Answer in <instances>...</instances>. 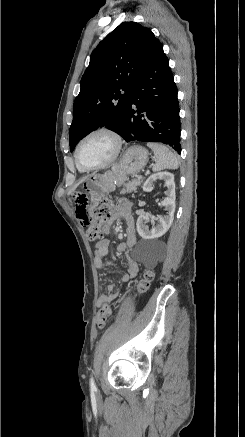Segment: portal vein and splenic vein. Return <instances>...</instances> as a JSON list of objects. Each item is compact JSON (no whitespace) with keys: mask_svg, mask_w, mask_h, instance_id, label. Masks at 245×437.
Returning <instances> with one entry per match:
<instances>
[{"mask_svg":"<svg viewBox=\"0 0 245 437\" xmlns=\"http://www.w3.org/2000/svg\"><path fill=\"white\" fill-rule=\"evenodd\" d=\"M137 177L140 179L142 176H141V175H138Z\"/></svg>","mask_w":245,"mask_h":437,"instance_id":"18ae733b","label":"portal vein and splenic vein"}]
</instances>
